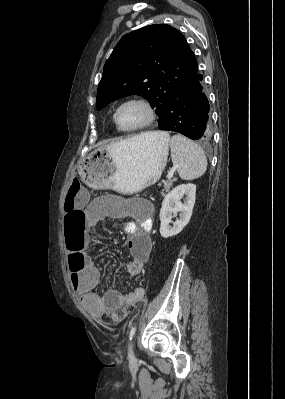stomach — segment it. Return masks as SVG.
Listing matches in <instances>:
<instances>
[{"label": "stomach", "instance_id": "1", "mask_svg": "<svg viewBox=\"0 0 285 399\" xmlns=\"http://www.w3.org/2000/svg\"><path fill=\"white\" fill-rule=\"evenodd\" d=\"M169 135L155 139L135 136L110 148L94 150L78 167L83 182L93 189L134 194L155 184L166 166Z\"/></svg>", "mask_w": 285, "mask_h": 399}]
</instances>
